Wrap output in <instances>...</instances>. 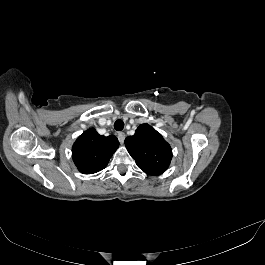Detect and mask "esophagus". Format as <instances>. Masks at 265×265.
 <instances>
[{
	"mask_svg": "<svg viewBox=\"0 0 265 265\" xmlns=\"http://www.w3.org/2000/svg\"><path fill=\"white\" fill-rule=\"evenodd\" d=\"M125 133L124 132H119L118 133V140H119V142L121 143V144H123L124 143V140H125Z\"/></svg>",
	"mask_w": 265,
	"mask_h": 265,
	"instance_id": "34e87169",
	"label": "esophagus"
}]
</instances>
